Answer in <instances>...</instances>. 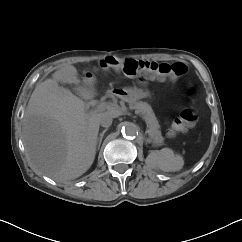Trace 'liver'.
<instances>
[{"instance_id":"liver-1","label":"liver","mask_w":242,"mask_h":242,"mask_svg":"<svg viewBox=\"0 0 242 242\" xmlns=\"http://www.w3.org/2000/svg\"><path fill=\"white\" fill-rule=\"evenodd\" d=\"M59 83H78L77 69L66 65L35 87L23 118L22 133L33 169L64 182L80 177L93 164L102 113L86 112L83 100L93 99L94 89L80 86L75 88V95ZM105 113L118 117L122 111Z\"/></svg>"}]
</instances>
